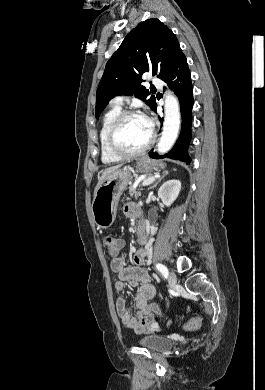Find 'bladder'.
<instances>
[{
  "label": "bladder",
  "mask_w": 265,
  "mask_h": 390,
  "mask_svg": "<svg viewBox=\"0 0 265 390\" xmlns=\"http://www.w3.org/2000/svg\"><path fill=\"white\" fill-rule=\"evenodd\" d=\"M139 343L145 348L160 352L169 349L172 346V341L164 336L145 335L139 339Z\"/></svg>",
  "instance_id": "bladder-1"
}]
</instances>
